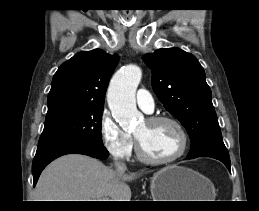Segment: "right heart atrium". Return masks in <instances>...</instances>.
Instances as JSON below:
<instances>
[{
    "label": "right heart atrium",
    "mask_w": 259,
    "mask_h": 211,
    "mask_svg": "<svg viewBox=\"0 0 259 211\" xmlns=\"http://www.w3.org/2000/svg\"><path fill=\"white\" fill-rule=\"evenodd\" d=\"M99 132L105 149L116 159H128L131 156L134 140L121 129L111 114L104 110L100 116Z\"/></svg>",
    "instance_id": "1"
}]
</instances>
